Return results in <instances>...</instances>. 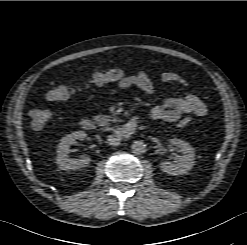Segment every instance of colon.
<instances>
[{
    "label": "colon",
    "mask_w": 247,
    "mask_h": 245,
    "mask_svg": "<svg viewBox=\"0 0 247 245\" xmlns=\"http://www.w3.org/2000/svg\"><path fill=\"white\" fill-rule=\"evenodd\" d=\"M124 76V71L120 68L100 70L94 72L89 78L80 83L54 86L48 90L46 97L50 101H63L86 88L118 82ZM30 118L33 127L41 129L49 122L51 113L46 109L35 108L30 111ZM193 123L194 121L191 118L184 117L177 122V125L178 127H186Z\"/></svg>",
    "instance_id": "obj_1"
}]
</instances>
